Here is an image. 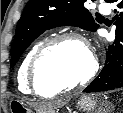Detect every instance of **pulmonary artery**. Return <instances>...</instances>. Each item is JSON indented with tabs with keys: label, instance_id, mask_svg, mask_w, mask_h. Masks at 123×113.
<instances>
[{
	"label": "pulmonary artery",
	"instance_id": "e3ab8cb5",
	"mask_svg": "<svg viewBox=\"0 0 123 113\" xmlns=\"http://www.w3.org/2000/svg\"><path fill=\"white\" fill-rule=\"evenodd\" d=\"M99 10L104 14H108L110 12V7L107 4H100Z\"/></svg>",
	"mask_w": 123,
	"mask_h": 113
}]
</instances>
